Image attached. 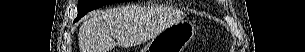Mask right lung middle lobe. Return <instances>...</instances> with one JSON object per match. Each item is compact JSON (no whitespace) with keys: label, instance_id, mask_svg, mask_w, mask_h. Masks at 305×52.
Returning a JSON list of instances; mask_svg holds the SVG:
<instances>
[{"label":"right lung middle lobe","instance_id":"1","mask_svg":"<svg viewBox=\"0 0 305 52\" xmlns=\"http://www.w3.org/2000/svg\"><path fill=\"white\" fill-rule=\"evenodd\" d=\"M130 0H78V16L76 21L83 17L86 13L96 8L115 3L127 2Z\"/></svg>","mask_w":305,"mask_h":52}]
</instances>
